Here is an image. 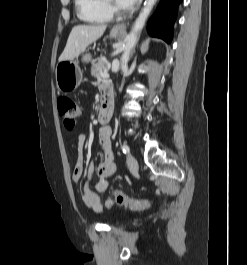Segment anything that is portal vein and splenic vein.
Masks as SVG:
<instances>
[{
    "instance_id": "18ae733b",
    "label": "portal vein and splenic vein",
    "mask_w": 247,
    "mask_h": 265,
    "mask_svg": "<svg viewBox=\"0 0 247 265\" xmlns=\"http://www.w3.org/2000/svg\"><path fill=\"white\" fill-rule=\"evenodd\" d=\"M102 77H103V78H108V77H109V75H108V73H107V72H103V73H102Z\"/></svg>"
}]
</instances>
